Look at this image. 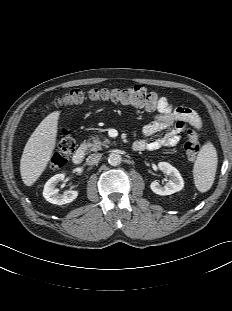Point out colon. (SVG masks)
Listing matches in <instances>:
<instances>
[{
  "label": "colon",
  "instance_id": "colon-1",
  "mask_svg": "<svg viewBox=\"0 0 232 311\" xmlns=\"http://www.w3.org/2000/svg\"><path fill=\"white\" fill-rule=\"evenodd\" d=\"M86 99L93 101H112L122 105L133 106L145 110H157L160 99L156 93L149 92L141 86H131L117 89H90L84 92L73 89L55 101L57 106H71L83 103ZM75 149V143L69 131H64L57 142L55 152L51 158V167L62 168L70 154ZM184 150L190 161L195 160L200 150L199 136L194 126L187 131Z\"/></svg>",
  "mask_w": 232,
  "mask_h": 311
}]
</instances>
